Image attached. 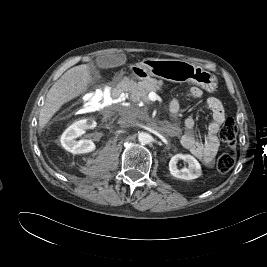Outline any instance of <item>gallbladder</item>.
<instances>
[{"mask_svg": "<svg viewBox=\"0 0 267 267\" xmlns=\"http://www.w3.org/2000/svg\"><path fill=\"white\" fill-rule=\"evenodd\" d=\"M118 62L114 57L101 56L97 60V66L90 65V69L93 73H96V67L101 69H107L109 67L117 65Z\"/></svg>", "mask_w": 267, "mask_h": 267, "instance_id": "obj_1", "label": "gallbladder"}]
</instances>
